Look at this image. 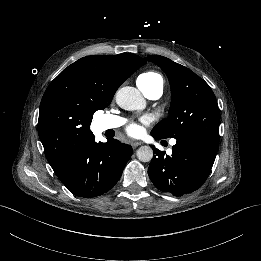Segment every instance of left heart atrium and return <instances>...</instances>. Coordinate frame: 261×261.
Listing matches in <instances>:
<instances>
[{
  "label": "left heart atrium",
  "instance_id": "39dd6f15",
  "mask_svg": "<svg viewBox=\"0 0 261 261\" xmlns=\"http://www.w3.org/2000/svg\"><path fill=\"white\" fill-rule=\"evenodd\" d=\"M127 132L132 137H138L142 133V130L139 125L131 124L127 128Z\"/></svg>",
  "mask_w": 261,
  "mask_h": 261
}]
</instances>
